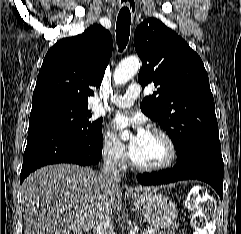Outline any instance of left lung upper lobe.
<instances>
[{
	"label": "left lung upper lobe",
	"instance_id": "obj_1",
	"mask_svg": "<svg viewBox=\"0 0 241 234\" xmlns=\"http://www.w3.org/2000/svg\"><path fill=\"white\" fill-rule=\"evenodd\" d=\"M134 45L142 60L139 83L158 87L140 108L167 131L177 158L196 147L220 149L213 95L198 54L155 18L136 28Z\"/></svg>",
	"mask_w": 241,
	"mask_h": 234
}]
</instances>
